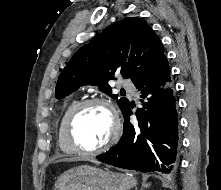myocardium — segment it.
Here are the masks:
<instances>
[{
	"mask_svg": "<svg viewBox=\"0 0 221 190\" xmlns=\"http://www.w3.org/2000/svg\"><path fill=\"white\" fill-rule=\"evenodd\" d=\"M94 104H101L108 108L113 119V129H112L110 138L104 144L93 149H88L78 143L74 135V130H75V123H76L78 116L82 113V111L85 108ZM64 131H65V137H66L67 142L70 144V146L73 148V150L76 153L83 154V155H94V154H98V153L108 150L117 142L120 136V132H121L120 117L114 104L112 103L110 99L105 98V97L88 98V99L80 101L70 111V113L68 114L65 120Z\"/></svg>",
	"mask_w": 221,
	"mask_h": 190,
	"instance_id": "myocardium-1",
	"label": "myocardium"
}]
</instances>
